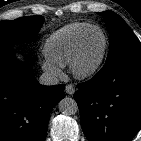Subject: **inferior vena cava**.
<instances>
[{
  "label": "inferior vena cava",
  "mask_w": 141,
  "mask_h": 141,
  "mask_svg": "<svg viewBox=\"0 0 141 141\" xmlns=\"http://www.w3.org/2000/svg\"><path fill=\"white\" fill-rule=\"evenodd\" d=\"M39 83L46 86H52V85H57L59 83V80L52 73L44 72L39 77Z\"/></svg>",
  "instance_id": "1"
}]
</instances>
